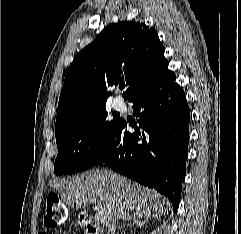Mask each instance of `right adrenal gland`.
<instances>
[{
  "instance_id": "2a0ac1e0",
  "label": "right adrenal gland",
  "mask_w": 241,
  "mask_h": 234,
  "mask_svg": "<svg viewBox=\"0 0 241 234\" xmlns=\"http://www.w3.org/2000/svg\"><path fill=\"white\" fill-rule=\"evenodd\" d=\"M146 223V220H142V221H133V222H128V223H124L123 225H121L118 230H122L124 229L125 227H132V226H135V227H142L144 226Z\"/></svg>"
}]
</instances>
